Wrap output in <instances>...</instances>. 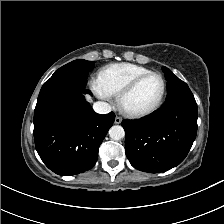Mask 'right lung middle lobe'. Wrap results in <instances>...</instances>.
Segmentation results:
<instances>
[{
    "label": "right lung middle lobe",
    "mask_w": 224,
    "mask_h": 224,
    "mask_svg": "<svg viewBox=\"0 0 224 224\" xmlns=\"http://www.w3.org/2000/svg\"><path fill=\"white\" fill-rule=\"evenodd\" d=\"M94 62L86 60H75L59 68L52 78L69 79L76 83L86 85L88 73L93 69Z\"/></svg>",
    "instance_id": "obj_1"
}]
</instances>
